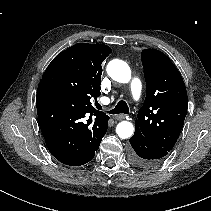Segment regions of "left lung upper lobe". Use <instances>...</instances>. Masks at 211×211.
<instances>
[{"label":"left lung upper lobe","mask_w":211,"mask_h":211,"mask_svg":"<svg viewBox=\"0 0 211 211\" xmlns=\"http://www.w3.org/2000/svg\"><path fill=\"white\" fill-rule=\"evenodd\" d=\"M146 80V97L138 112L135 132L171 151L187 114V91L175 65L162 52L141 53Z\"/></svg>","instance_id":"obj_1"}]
</instances>
